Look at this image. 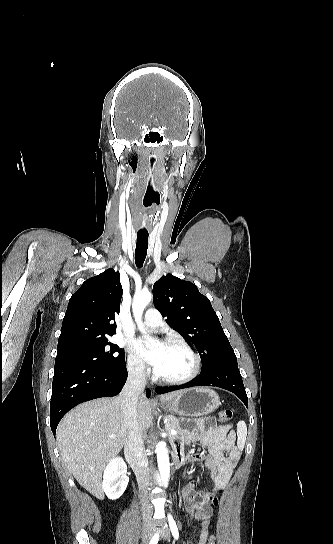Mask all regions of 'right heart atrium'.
<instances>
[{
    "label": "right heart atrium",
    "instance_id": "obj_1",
    "mask_svg": "<svg viewBox=\"0 0 333 544\" xmlns=\"http://www.w3.org/2000/svg\"><path fill=\"white\" fill-rule=\"evenodd\" d=\"M127 370L128 373L139 380H143L147 377V370L142 361L136 357L133 353H129L127 357Z\"/></svg>",
    "mask_w": 333,
    "mask_h": 544
}]
</instances>
